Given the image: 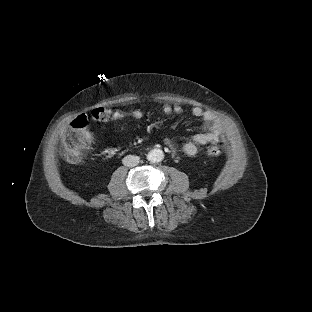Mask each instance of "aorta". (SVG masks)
<instances>
[{
    "instance_id": "aorta-1",
    "label": "aorta",
    "mask_w": 312,
    "mask_h": 312,
    "mask_svg": "<svg viewBox=\"0 0 312 312\" xmlns=\"http://www.w3.org/2000/svg\"><path fill=\"white\" fill-rule=\"evenodd\" d=\"M165 157L164 151L159 148L152 149L148 158L152 162H161Z\"/></svg>"
}]
</instances>
